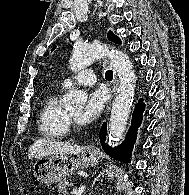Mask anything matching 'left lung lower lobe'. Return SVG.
Here are the masks:
<instances>
[{
    "label": "left lung lower lobe",
    "mask_w": 189,
    "mask_h": 195,
    "mask_svg": "<svg viewBox=\"0 0 189 195\" xmlns=\"http://www.w3.org/2000/svg\"><path fill=\"white\" fill-rule=\"evenodd\" d=\"M143 111H144V103L142 102V100H140L135 106L131 128H130L129 133L127 134L125 141L123 142L121 146L115 149H112L111 147L105 144L106 123L103 124L101 131H100L99 138H100L102 147L107 154H109L111 157L117 160H120L122 162H130V153L132 151V148L135 142L137 129L142 120Z\"/></svg>",
    "instance_id": "left-lung-lower-lobe-1"
}]
</instances>
